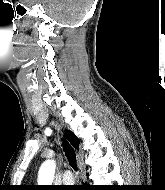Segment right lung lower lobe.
<instances>
[{"instance_id":"right-lung-lower-lobe-1","label":"right lung lower lobe","mask_w":165,"mask_h":190,"mask_svg":"<svg viewBox=\"0 0 165 190\" xmlns=\"http://www.w3.org/2000/svg\"><path fill=\"white\" fill-rule=\"evenodd\" d=\"M80 190H100V189L91 185H82L80 186Z\"/></svg>"}]
</instances>
